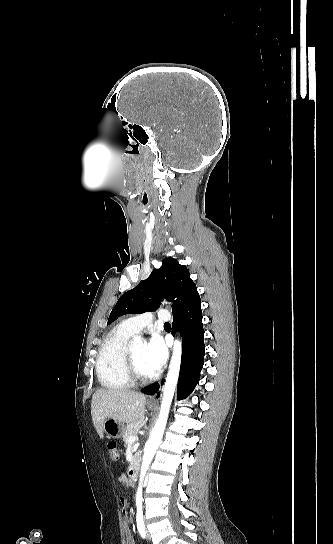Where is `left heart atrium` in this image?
Instances as JSON below:
<instances>
[{"mask_svg":"<svg viewBox=\"0 0 333 544\" xmlns=\"http://www.w3.org/2000/svg\"><path fill=\"white\" fill-rule=\"evenodd\" d=\"M167 358V350L162 338L154 335L145 346L144 361L152 373L162 368Z\"/></svg>","mask_w":333,"mask_h":544,"instance_id":"39dd6f15","label":"left heart atrium"}]
</instances>
